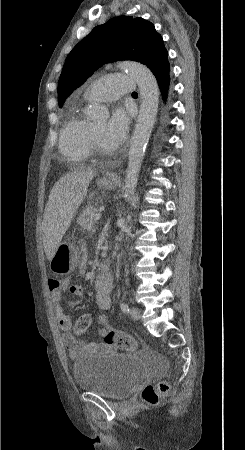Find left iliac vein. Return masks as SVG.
<instances>
[{"label":"left iliac vein","instance_id":"1","mask_svg":"<svg viewBox=\"0 0 245 450\" xmlns=\"http://www.w3.org/2000/svg\"><path fill=\"white\" fill-rule=\"evenodd\" d=\"M130 315H131V317H132L134 320H139V319H140V316H141V312H140V310H139L138 308L132 307V308L130 309Z\"/></svg>","mask_w":245,"mask_h":450}]
</instances>
